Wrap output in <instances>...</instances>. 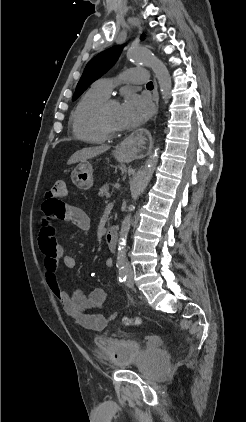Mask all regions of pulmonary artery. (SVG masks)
Segmentation results:
<instances>
[{"mask_svg": "<svg viewBox=\"0 0 246 422\" xmlns=\"http://www.w3.org/2000/svg\"><path fill=\"white\" fill-rule=\"evenodd\" d=\"M126 79L130 82L137 83V84H143L148 81V73L145 69L142 68H131L126 71L125 75ZM114 84L109 79H100L98 80L94 87L105 93L106 95H109Z\"/></svg>", "mask_w": 246, "mask_h": 422, "instance_id": "1", "label": "pulmonary artery"}]
</instances>
